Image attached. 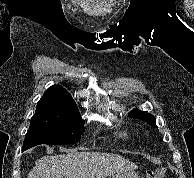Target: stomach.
<instances>
[{
  "label": "stomach",
  "instance_id": "obj_1",
  "mask_svg": "<svg viewBox=\"0 0 194 178\" xmlns=\"http://www.w3.org/2000/svg\"><path fill=\"white\" fill-rule=\"evenodd\" d=\"M112 178H139L138 174L134 171L119 172Z\"/></svg>",
  "mask_w": 194,
  "mask_h": 178
}]
</instances>
